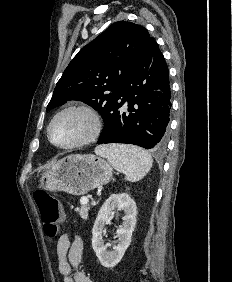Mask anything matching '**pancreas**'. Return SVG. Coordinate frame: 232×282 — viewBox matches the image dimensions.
<instances>
[{"label": "pancreas", "instance_id": "cf45deb5", "mask_svg": "<svg viewBox=\"0 0 232 282\" xmlns=\"http://www.w3.org/2000/svg\"><path fill=\"white\" fill-rule=\"evenodd\" d=\"M89 210H90V205L86 204V205H82L80 208H77L76 212L79 213V215L83 220H86L88 218Z\"/></svg>", "mask_w": 232, "mask_h": 282}]
</instances>
